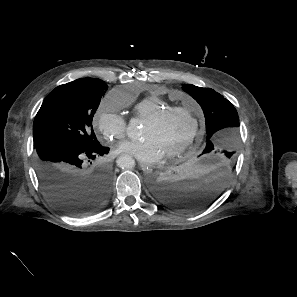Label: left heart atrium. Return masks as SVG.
<instances>
[{
	"label": "left heart atrium",
	"instance_id": "1",
	"mask_svg": "<svg viewBox=\"0 0 297 297\" xmlns=\"http://www.w3.org/2000/svg\"><path fill=\"white\" fill-rule=\"evenodd\" d=\"M118 152L126 153L144 164L155 163L164 155L152 138L126 140L118 146Z\"/></svg>",
	"mask_w": 297,
	"mask_h": 297
}]
</instances>
